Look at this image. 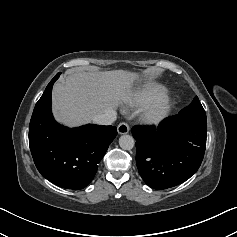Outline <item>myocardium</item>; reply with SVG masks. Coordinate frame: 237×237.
Returning a JSON list of instances; mask_svg holds the SVG:
<instances>
[{
    "label": "myocardium",
    "instance_id": "1",
    "mask_svg": "<svg viewBox=\"0 0 237 237\" xmlns=\"http://www.w3.org/2000/svg\"><path fill=\"white\" fill-rule=\"evenodd\" d=\"M172 101L168 96L156 99L147 104L141 113V120L148 125H158L169 115Z\"/></svg>",
    "mask_w": 237,
    "mask_h": 237
}]
</instances>
